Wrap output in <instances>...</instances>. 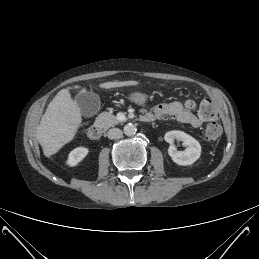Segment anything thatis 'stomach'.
Here are the masks:
<instances>
[{"label":"stomach","instance_id":"obj_1","mask_svg":"<svg viewBox=\"0 0 259 259\" xmlns=\"http://www.w3.org/2000/svg\"><path fill=\"white\" fill-rule=\"evenodd\" d=\"M130 100L132 102H135V103L139 104V105H142L146 101V95H144L142 93H139V92H135V93L131 94Z\"/></svg>","mask_w":259,"mask_h":259}]
</instances>
